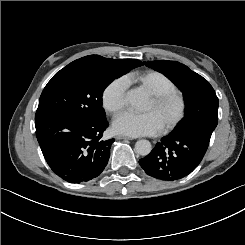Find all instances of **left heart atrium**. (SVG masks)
I'll use <instances>...</instances> for the list:
<instances>
[{
    "label": "left heart atrium",
    "instance_id": "39dd6f15",
    "mask_svg": "<svg viewBox=\"0 0 245 245\" xmlns=\"http://www.w3.org/2000/svg\"><path fill=\"white\" fill-rule=\"evenodd\" d=\"M113 127L119 134L142 136L159 132L161 123L152 111H148L142 114L126 113L114 121Z\"/></svg>",
    "mask_w": 245,
    "mask_h": 245
}]
</instances>
